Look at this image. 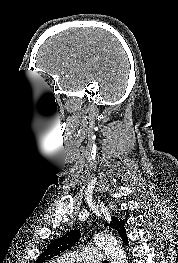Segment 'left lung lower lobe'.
<instances>
[{"label": "left lung lower lobe", "mask_w": 178, "mask_h": 263, "mask_svg": "<svg viewBox=\"0 0 178 263\" xmlns=\"http://www.w3.org/2000/svg\"><path fill=\"white\" fill-rule=\"evenodd\" d=\"M119 235L121 236L123 242L127 245L128 244V238H127V234H126L124 226H123L122 230L120 231Z\"/></svg>", "instance_id": "left-lung-lower-lobe-1"}]
</instances>
